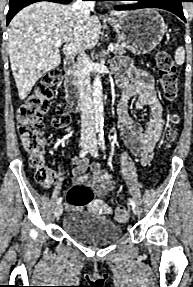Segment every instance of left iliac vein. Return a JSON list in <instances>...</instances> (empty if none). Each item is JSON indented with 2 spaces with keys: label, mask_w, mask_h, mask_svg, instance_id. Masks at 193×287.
<instances>
[{
  "label": "left iliac vein",
  "mask_w": 193,
  "mask_h": 287,
  "mask_svg": "<svg viewBox=\"0 0 193 287\" xmlns=\"http://www.w3.org/2000/svg\"><path fill=\"white\" fill-rule=\"evenodd\" d=\"M97 143H98V141H97L96 137H93L91 145L89 147V152L93 157H98ZM132 211H133V213H136L137 212L136 207H132Z\"/></svg>",
  "instance_id": "4c4485c4"
}]
</instances>
